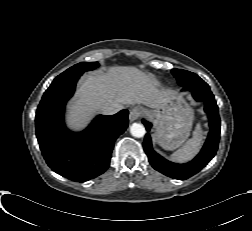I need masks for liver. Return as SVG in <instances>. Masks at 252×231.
I'll use <instances>...</instances> for the list:
<instances>
[{
    "instance_id": "1",
    "label": "liver",
    "mask_w": 252,
    "mask_h": 231,
    "mask_svg": "<svg viewBox=\"0 0 252 231\" xmlns=\"http://www.w3.org/2000/svg\"><path fill=\"white\" fill-rule=\"evenodd\" d=\"M158 81L135 67L114 66L106 73L86 74L79 82L75 99L69 105L67 123L79 129L102 106L143 104L160 108L171 92L160 90Z\"/></svg>"
}]
</instances>
